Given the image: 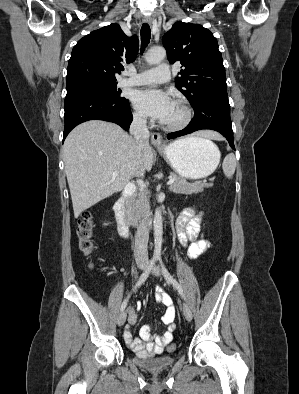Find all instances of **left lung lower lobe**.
I'll return each instance as SVG.
<instances>
[{
	"mask_svg": "<svg viewBox=\"0 0 299 394\" xmlns=\"http://www.w3.org/2000/svg\"><path fill=\"white\" fill-rule=\"evenodd\" d=\"M192 107L194 117L190 124L183 130L169 133L167 138L180 137L201 129H211L220 132L235 150L227 92L206 94Z\"/></svg>",
	"mask_w": 299,
	"mask_h": 394,
	"instance_id": "obj_1",
	"label": "left lung lower lobe"
}]
</instances>
